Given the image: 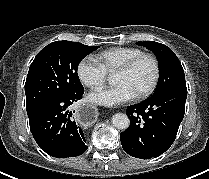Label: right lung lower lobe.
I'll return each instance as SVG.
<instances>
[{
    "mask_svg": "<svg viewBox=\"0 0 209 179\" xmlns=\"http://www.w3.org/2000/svg\"><path fill=\"white\" fill-rule=\"evenodd\" d=\"M83 93L51 100L28 116L31 133L47 154L66 158L87 150L84 133L69 111L70 105L80 100Z\"/></svg>",
    "mask_w": 209,
    "mask_h": 179,
    "instance_id": "obj_1",
    "label": "right lung lower lobe"
}]
</instances>
